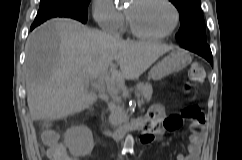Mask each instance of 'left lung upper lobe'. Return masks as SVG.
<instances>
[{
	"label": "left lung upper lobe",
	"mask_w": 242,
	"mask_h": 160,
	"mask_svg": "<svg viewBox=\"0 0 242 160\" xmlns=\"http://www.w3.org/2000/svg\"><path fill=\"white\" fill-rule=\"evenodd\" d=\"M179 11L180 29L176 39L180 44L206 41L205 23L201 12V0H170Z\"/></svg>",
	"instance_id": "obj_1"
}]
</instances>
